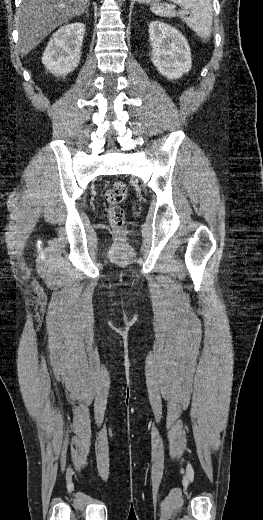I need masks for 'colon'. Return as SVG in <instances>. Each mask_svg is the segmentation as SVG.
<instances>
[{
  "mask_svg": "<svg viewBox=\"0 0 263 520\" xmlns=\"http://www.w3.org/2000/svg\"><path fill=\"white\" fill-rule=\"evenodd\" d=\"M127 195L128 187L121 181L114 182L105 192L108 218L111 225L116 229H121L125 223V211L122 203Z\"/></svg>",
  "mask_w": 263,
  "mask_h": 520,
  "instance_id": "obj_1",
  "label": "colon"
}]
</instances>
